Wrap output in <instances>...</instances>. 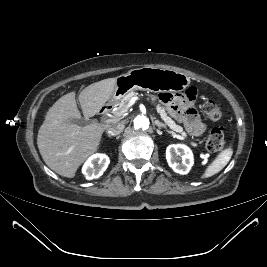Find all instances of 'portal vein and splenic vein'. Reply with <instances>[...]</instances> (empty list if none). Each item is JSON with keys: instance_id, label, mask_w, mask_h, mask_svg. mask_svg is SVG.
I'll use <instances>...</instances> for the list:
<instances>
[{"instance_id": "18ae733b", "label": "portal vein and splenic vein", "mask_w": 267, "mask_h": 267, "mask_svg": "<svg viewBox=\"0 0 267 267\" xmlns=\"http://www.w3.org/2000/svg\"><path fill=\"white\" fill-rule=\"evenodd\" d=\"M136 100H137V97H133L128 103V108L131 107L136 102ZM114 115H115V118L122 116V114L120 113H114Z\"/></svg>"}]
</instances>
